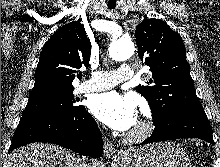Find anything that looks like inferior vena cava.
I'll return each instance as SVG.
<instances>
[{
	"label": "inferior vena cava",
	"mask_w": 220,
	"mask_h": 167,
	"mask_svg": "<svg viewBox=\"0 0 220 167\" xmlns=\"http://www.w3.org/2000/svg\"><path fill=\"white\" fill-rule=\"evenodd\" d=\"M77 167H92L90 164L84 162L82 159H79Z\"/></svg>",
	"instance_id": "obj_1"
}]
</instances>
